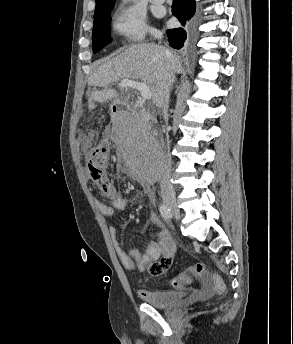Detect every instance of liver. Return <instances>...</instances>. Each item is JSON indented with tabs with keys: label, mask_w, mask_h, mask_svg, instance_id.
<instances>
[{
	"label": "liver",
	"mask_w": 293,
	"mask_h": 344,
	"mask_svg": "<svg viewBox=\"0 0 293 344\" xmlns=\"http://www.w3.org/2000/svg\"><path fill=\"white\" fill-rule=\"evenodd\" d=\"M165 49L155 43L132 45L98 67L89 77V84L103 89L91 93L89 108L96 107L94 102L104 103L108 100H116L119 94L115 89L110 88V85L123 79L141 80L145 83L150 88L153 102L156 104L163 85L166 65ZM172 68L177 74L183 71L182 60L176 53H173Z\"/></svg>",
	"instance_id": "liver-1"
}]
</instances>
